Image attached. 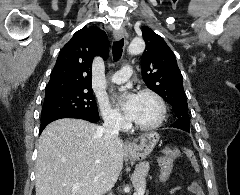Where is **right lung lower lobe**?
I'll return each instance as SVG.
<instances>
[{"mask_svg":"<svg viewBox=\"0 0 240 195\" xmlns=\"http://www.w3.org/2000/svg\"><path fill=\"white\" fill-rule=\"evenodd\" d=\"M62 118H79V119H84L88 120L90 122H97L99 120V115L98 114H90V113H76V114H67V115H60V116H55L51 117L48 119L41 120V125H40V133L43 131V129L51 122L62 119Z\"/></svg>","mask_w":240,"mask_h":195,"instance_id":"right-lung-lower-lobe-1","label":"right lung lower lobe"}]
</instances>
